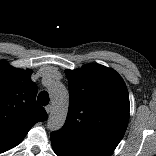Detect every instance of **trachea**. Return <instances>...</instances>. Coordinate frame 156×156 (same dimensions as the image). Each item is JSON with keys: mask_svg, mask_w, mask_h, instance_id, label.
Segmentation results:
<instances>
[{"mask_svg": "<svg viewBox=\"0 0 156 156\" xmlns=\"http://www.w3.org/2000/svg\"><path fill=\"white\" fill-rule=\"evenodd\" d=\"M38 102L45 106L49 103V95L46 91H42L39 93L38 97H37Z\"/></svg>", "mask_w": 156, "mask_h": 156, "instance_id": "1", "label": "trachea"}]
</instances>
